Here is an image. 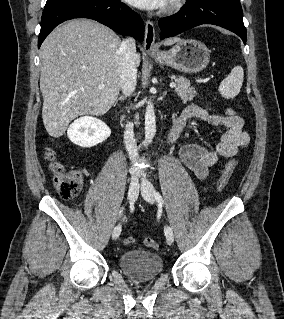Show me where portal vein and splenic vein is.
Wrapping results in <instances>:
<instances>
[{
	"instance_id": "obj_1",
	"label": "portal vein and splenic vein",
	"mask_w": 284,
	"mask_h": 319,
	"mask_svg": "<svg viewBox=\"0 0 284 319\" xmlns=\"http://www.w3.org/2000/svg\"><path fill=\"white\" fill-rule=\"evenodd\" d=\"M176 85H177V84H176L175 82H171V83H170V87H171V88H175ZM98 87H99L100 89H102V88H104V84H100Z\"/></svg>"
}]
</instances>
